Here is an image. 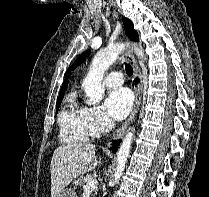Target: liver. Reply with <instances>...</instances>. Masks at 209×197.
I'll return each instance as SVG.
<instances>
[{
    "mask_svg": "<svg viewBox=\"0 0 209 197\" xmlns=\"http://www.w3.org/2000/svg\"><path fill=\"white\" fill-rule=\"evenodd\" d=\"M95 148L88 143L62 144L56 148L50 164L51 197H56L75 178L96 167Z\"/></svg>",
    "mask_w": 209,
    "mask_h": 197,
    "instance_id": "1",
    "label": "liver"
}]
</instances>
